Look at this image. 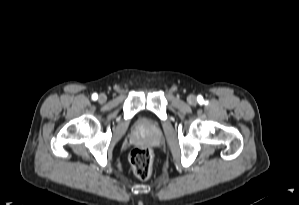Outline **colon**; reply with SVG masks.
<instances>
[{"label": "colon", "mask_w": 299, "mask_h": 205, "mask_svg": "<svg viewBox=\"0 0 299 205\" xmlns=\"http://www.w3.org/2000/svg\"><path fill=\"white\" fill-rule=\"evenodd\" d=\"M134 174L140 179H148L152 174V154L147 148H136L130 154Z\"/></svg>", "instance_id": "obj_1"}]
</instances>
